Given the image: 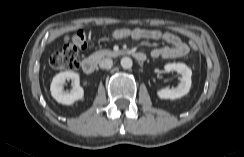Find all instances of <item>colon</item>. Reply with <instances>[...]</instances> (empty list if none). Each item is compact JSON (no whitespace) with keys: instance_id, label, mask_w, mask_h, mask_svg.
Returning <instances> with one entry per match:
<instances>
[{"instance_id":"colon-1","label":"colon","mask_w":244,"mask_h":157,"mask_svg":"<svg viewBox=\"0 0 244 157\" xmlns=\"http://www.w3.org/2000/svg\"><path fill=\"white\" fill-rule=\"evenodd\" d=\"M134 29L119 28L112 32V37L117 40L131 38ZM89 33L85 30H78L67 39L66 44L60 51L54 52L49 58V64L56 70H74L79 67V50L88 46ZM192 50L197 49V45L192 42Z\"/></svg>"}]
</instances>
